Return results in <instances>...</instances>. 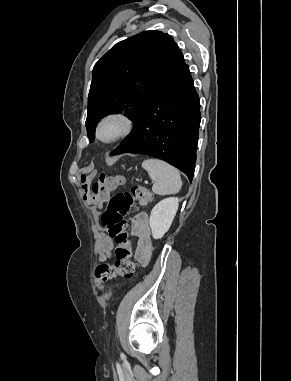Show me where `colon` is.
I'll return each instance as SVG.
<instances>
[{
	"label": "colon",
	"mask_w": 291,
	"mask_h": 381,
	"mask_svg": "<svg viewBox=\"0 0 291 381\" xmlns=\"http://www.w3.org/2000/svg\"><path fill=\"white\" fill-rule=\"evenodd\" d=\"M122 183L121 178L101 174L99 181L85 187L88 198L93 203L107 201L108 207L101 216V223L108 236L115 241L114 263H101L94 269L99 287L115 277L131 278L134 275L135 264L132 261L126 216L134 204L146 206L151 199L149 190L138 185L133 186L129 192L113 193Z\"/></svg>",
	"instance_id": "5ec220e1"
}]
</instances>
